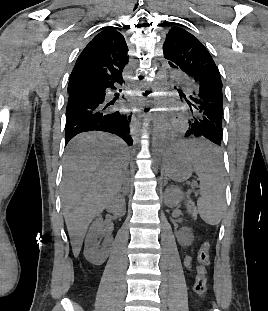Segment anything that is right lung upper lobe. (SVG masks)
<instances>
[{
  "label": "right lung upper lobe",
  "instance_id": "cb5924a9",
  "mask_svg": "<svg viewBox=\"0 0 268 311\" xmlns=\"http://www.w3.org/2000/svg\"><path fill=\"white\" fill-rule=\"evenodd\" d=\"M128 47L115 28L98 33L79 55L69 78L68 88L97 84L122 77L128 63Z\"/></svg>",
  "mask_w": 268,
  "mask_h": 311
}]
</instances>
